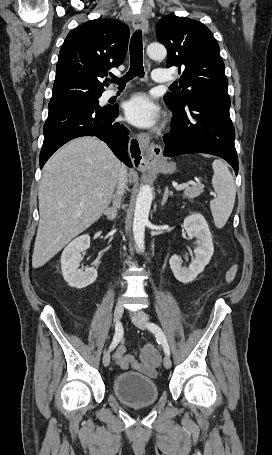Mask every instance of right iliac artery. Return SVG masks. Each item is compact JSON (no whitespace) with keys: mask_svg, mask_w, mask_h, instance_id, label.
Listing matches in <instances>:
<instances>
[{"mask_svg":"<svg viewBox=\"0 0 272 455\" xmlns=\"http://www.w3.org/2000/svg\"><path fill=\"white\" fill-rule=\"evenodd\" d=\"M122 337H123V327L120 322H117L116 326H115V334L113 337V341H112L109 349L113 350L118 345V343L120 342Z\"/></svg>","mask_w":272,"mask_h":455,"instance_id":"1","label":"right iliac artery"}]
</instances>
